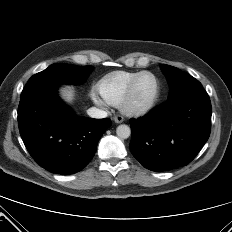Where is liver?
Wrapping results in <instances>:
<instances>
[{"label":"liver","instance_id":"obj_1","mask_svg":"<svg viewBox=\"0 0 232 232\" xmlns=\"http://www.w3.org/2000/svg\"><path fill=\"white\" fill-rule=\"evenodd\" d=\"M60 97L67 102H71L74 98V91L69 86H63L60 89Z\"/></svg>","mask_w":232,"mask_h":232}]
</instances>
